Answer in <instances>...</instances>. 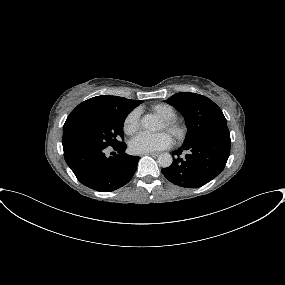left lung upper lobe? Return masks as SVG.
Masks as SVG:
<instances>
[{"mask_svg": "<svg viewBox=\"0 0 285 285\" xmlns=\"http://www.w3.org/2000/svg\"><path fill=\"white\" fill-rule=\"evenodd\" d=\"M166 102L185 117L187 135L184 143L203 136L230 138L226 118L221 109L209 98L196 93L180 92Z\"/></svg>", "mask_w": 285, "mask_h": 285, "instance_id": "5c2ea615", "label": "left lung upper lobe"}]
</instances>
